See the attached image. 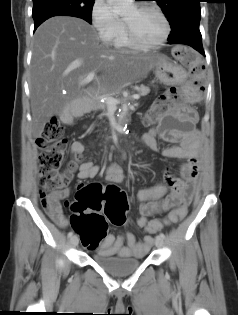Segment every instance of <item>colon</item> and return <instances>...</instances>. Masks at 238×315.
Instances as JSON below:
<instances>
[{"instance_id":"colon-1","label":"colon","mask_w":238,"mask_h":315,"mask_svg":"<svg viewBox=\"0 0 238 315\" xmlns=\"http://www.w3.org/2000/svg\"><path fill=\"white\" fill-rule=\"evenodd\" d=\"M173 56L183 65L190 68L195 85L199 90L206 86V69L200 55L188 47L176 46ZM180 95L171 89L161 95L146 116V122L155 123L163 116L171 103L177 102ZM67 140L64 129L56 118L49 119L37 139L39 149V186L40 197L44 208H48L53 193L64 189L69 182L76 162L69 163L67 171H61ZM70 223L80 236L85 247L95 248L105 238L108 222L121 226L126 222L129 209L127 196L115 185L104 186L98 182L78 186L75 200L69 205ZM185 208L172 210L166 219H154L147 223L146 231L154 234L164 225L177 223L185 216Z\"/></svg>"}]
</instances>
